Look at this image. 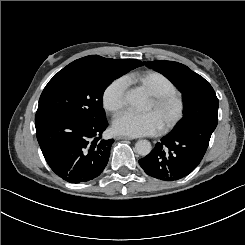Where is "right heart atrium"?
<instances>
[{"instance_id": "d8ad5b80", "label": "right heart atrium", "mask_w": 245, "mask_h": 245, "mask_svg": "<svg viewBox=\"0 0 245 245\" xmlns=\"http://www.w3.org/2000/svg\"><path fill=\"white\" fill-rule=\"evenodd\" d=\"M126 94V84L122 79H115L105 88L102 96L106 111L116 114L123 108Z\"/></svg>"}]
</instances>
